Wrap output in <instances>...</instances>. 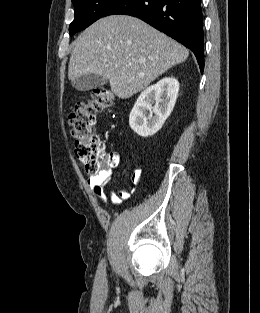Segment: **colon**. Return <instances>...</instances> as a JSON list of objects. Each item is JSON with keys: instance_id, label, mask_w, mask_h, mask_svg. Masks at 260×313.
<instances>
[{"instance_id": "colon-1", "label": "colon", "mask_w": 260, "mask_h": 313, "mask_svg": "<svg viewBox=\"0 0 260 313\" xmlns=\"http://www.w3.org/2000/svg\"><path fill=\"white\" fill-rule=\"evenodd\" d=\"M114 101L110 90L93 89L76 105L69 117L71 135L75 139V155L92 175L107 172L115 165V155L106 152L104 143L95 133L97 114L111 108Z\"/></svg>"}]
</instances>
